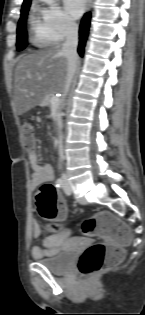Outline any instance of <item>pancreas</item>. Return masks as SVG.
<instances>
[{
    "instance_id": "1",
    "label": "pancreas",
    "mask_w": 145,
    "mask_h": 315,
    "mask_svg": "<svg viewBox=\"0 0 145 315\" xmlns=\"http://www.w3.org/2000/svg\"><path fill=\"white\" fill-rule=\"evenodd\" d=\"M44 104L50 105L51 104V97H48L47 99H45Z\"/></svg>"
}]
</instances>
